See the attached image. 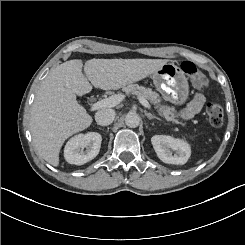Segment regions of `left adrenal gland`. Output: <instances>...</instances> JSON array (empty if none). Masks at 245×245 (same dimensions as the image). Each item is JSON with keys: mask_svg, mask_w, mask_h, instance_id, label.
Wrapping results in <instances>:
<instances>
[{"mask_svg": "<svg viewBox=\"0 0 245 245\" xmlns=\"http://www.w3.org/2000/svg\"><path fill=\"white\" fill-rule=\"evenodd\" d=\"M144 114L147 116V118L149 120L151 119H157V120H161L159 117H156L155 115L151 114V113H148L147 111H144Z\"/></svg>", "mask_w": 245, "mask_h": 245, "instance_id": "1", "label": "left adrenal gland"}]
</instances>
